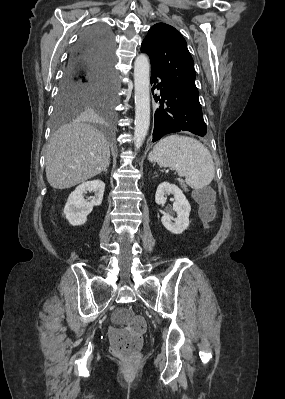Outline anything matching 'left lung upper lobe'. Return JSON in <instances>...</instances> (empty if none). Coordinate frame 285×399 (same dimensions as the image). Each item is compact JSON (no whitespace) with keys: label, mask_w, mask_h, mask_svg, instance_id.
I'll list each match as a JSON object with an SVG mask.
<instances>
[{"label":"left lung upper lobe","mask_w":285,"mask_h":399,"mask_svg":"<svg viewBox=\"0 0 285 399\" xmlns=\"http://www.w3.org/2000/svg\"><path fill=\"white\" fill-rule=\"evenodd\" d=\"M141 51L149 55L151 67L167 76L201 108L195 85L194 62L180 32L168 24L157 23L143 40Z\"/></svg>","instance_id":"1"}]
</instances>
